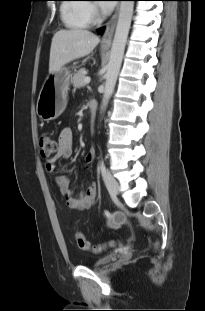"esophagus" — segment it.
<instances>
[{"label":"esophagus","instance_id":"1","mask_svg":"<svg viewBox=\"0 0 205 311\" xmlns=\"http://www.w3.org/2000/svg\"><path fill=\"white\" fill-rule=\"evenodd\" d=\"M119 12H120V8L119 6H117L112 17L110 18V20L108 21L106 25V31L101 41V45L104 47H108L111 45L112 36L114 33L117 19L119 17Z\"/></svg>","mask_w":205,"mask_h":311}]
</instances>
